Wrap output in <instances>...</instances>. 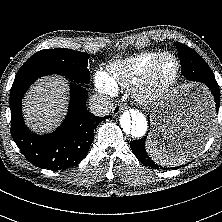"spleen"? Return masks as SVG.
Here are the masks:
<instances>
[{
	"instance_id": "1",
	"label": "spleen",
	"mask_w": 222,
	"mask_h": 222,
	"mask_svg": "<svg viewBox=\"0 0 222 222\" xmlns=\"http://www.w3.org/2000/svg\"><path fill=\"white\" fill-rule=\"evenodd\" d=\"M146 150L156 163L168 167L182 165L192 156L191 152H174L172 148L163 146L150 138L146 141Z\"/></svg>"
}]
</instances>
